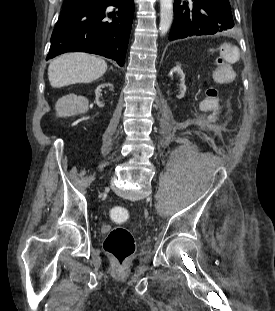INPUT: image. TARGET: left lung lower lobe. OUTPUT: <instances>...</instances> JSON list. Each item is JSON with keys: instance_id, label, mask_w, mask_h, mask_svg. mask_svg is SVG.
I'll return each mask as SVG.
<instances>
[{"instance_id": "0a47b994", "label": "left lung lower lobe", "mask_w": 275, "mask_h": 311, "mask_svg": "<svg viewBox=\"0 0 275 311\" xmlns=\"http://www.w3.org/2000/svg\"><path fill=\"white\" fill-rule=\"evenodd\" d=\"M175 20L169 40L212 35L234 26L228 0H174Z\"/></svg>"}]
</instances>
